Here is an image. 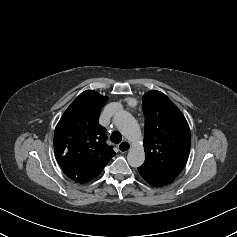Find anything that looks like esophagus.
<instances>
[{"label": "esophagus", "instance_id": "1", "mask_svg": "<svg viewBox=\"0 0 237 237\" xmlns=\"http://www.w3.org/2000/svg\"><path fill=\"white\" fill-rule=\"evenodd\" d=\"M131 145L128 141H122L119 145H118V149L121 153H126L130 150Z\"/></svg>", "mask_w": 237, "mask_h": 237}]
</instances>
